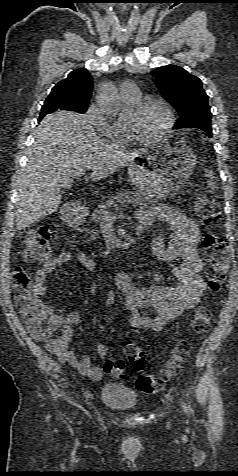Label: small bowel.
<instances>
[{
  "label": "small bowel",
  "instance_id": "small-bowel-1",
  "mask_svg": "<svg viewBox=\"0 0 238 476\" xmlns=\"http://www.w3.org/2000/svg\"><path fill=\"white\" fill-rule=\"evenodd\" d=\"M136 215L140 232L149 230L156 223L167 225L169 236L167 237L162 231H157L151 241V252L156 259L163 262L181 261V264L173 267L170 272L176 284L164 285L165 275L159 271H121L115 277V287L108 293L106 304L108 306L118 304L126 311L129 328L160 331L184 311L198 306L201 301L206 287L201 276L203 264L198 254L201 232L192 219L168 206L160 205L151 210H139ZM74 258L89 272L96 267L95 260L85 252L58 253L36 270L35 286L39 296H45L48 292L46 286L48 275ZM143 278H149L153 283L145 287L137 286L135 280ZM46 309L48 327L52 330L66 328L72 333L71 326L81 323V316L76 310L67 315H61L53 313L48 307ZM151 312L155 315L152 316ZM53 351L61 361L69 364L82 375L95 381L102 378L103 369L92 366L89 357L77 356L68 347V342ZM97 353L101 358H106L107 346L98 343Z\"/></svg>",
  "mask_w": 238,
  "mask_h": 476
}]
</instances>
